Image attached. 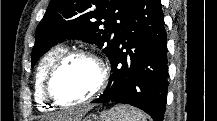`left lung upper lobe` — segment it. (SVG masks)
I'll use <instances>...</instances> for the list:
<instances>
[{
	"instance_id": "left-lung-upper-lobe-1",
	"label": "left lung upper lobe",
	"mask_w": 217,
	"mask_h": 121,
	"mask_svg": "<svg viewBox=\"0 0 217 121\" xmlns=\"http://www.w3.org/2000/svg\"><path fill=\"white\" fill-rule=\"evenodd\" d=\"M136 0H51L37 26L32 66L58 42L95 43L110 59Z\"/></svg>"
}]
</instances>
